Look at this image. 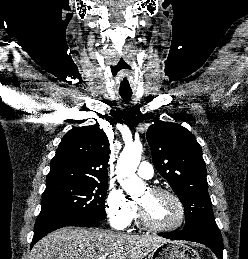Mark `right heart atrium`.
<instances>
[{
  "label": "right heart atrium",
  "instance_id": "obj_1",
  "mask_svg": "<svg viewBox=\"0 0 248 259\" xmlns=\"http://www.w3.org/2000/svg\"><path fill=\"white\" fill-rule=\"evenodd\" d=\"M106 213L111 226L126 229L133 220L136 206L120 189L111 188L105 200Z\"/></svg>",
  "mask_w": 248,
  "mask_h": 259
}]
</instances>
